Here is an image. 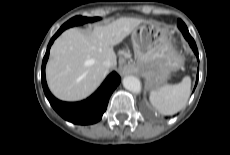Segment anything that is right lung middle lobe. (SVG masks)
Returning a JSON list of instances; mask_svg holds the SVG:
<instances>
[{
    "label": "right lung middle lobe",
    "mask_w": 230,
    "mask_h": 155,
    "mask_svg": "<svg viewBox=\"0 0 230 155\" xmlns=\"http://www.w3.org/2000/svg\"><path fill=\"white\" fill-rule=\"evenodd\" d=\"M99 19H100L99 17L88 18V17L76 16L71 18L69 21H67L64 25L61 26V28L65 30L75 25H81L87 22H94Z\"/></svg>",
    "instance_id": "right-lung-middle-lobe-1"
}]
</instances>
